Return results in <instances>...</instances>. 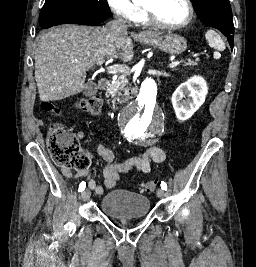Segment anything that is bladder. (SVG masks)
Returning a JSON list of instances; mask_svg holds the SVG:
<instances>
[{
	"label": "bladder",
	"mask_w": 256,
	"mask_h": 267,
	"mask_svg": "<svg viewBox=\"0 0 256 267\" xmlns=\"http://www.w3.org/2000/svg\"><path fill=\"white\" fill-rule=\"evenodd\" d=\"M101 211L115 218H140L149 214V197L116 189L107 192L101 199Z\"/></svg>",
	"instance_id": "1"
}]
</instances>
